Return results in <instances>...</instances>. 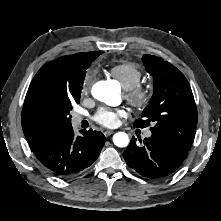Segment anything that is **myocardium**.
<instances>
[{
	"mask_svg": "<svg viewBox=\"0 0 221 221\" xmlns=\"http://www.w3.org/2000/svg\"><path fill=\"white\" fill-rule=\"evenodd\" d=\"M151 90L141 84L125 90L126 100L136 109L142 110L146 108L150 102Z\"/></svg>",
	"mask_w": 221,
	"mask_h": 221,
	"instance_id": "1",
	"label": "myocardium"
}]
</instances>
